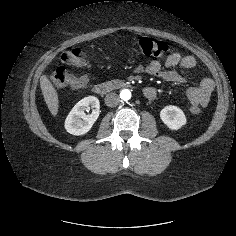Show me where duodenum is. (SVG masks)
<instances>
[{
	"label": "duodenum",
	"instance_id": "1",
	"mask_svg": "<svg viewBox=\"0 0 236 236\" xmlns=\"http://www.w3.org/2000/svg\"><path fill=\"white\" fill-rule=\"evenodd\" d=\"M128 87H130L129 82L121 81V80H107V81L99 82L93 85L92 90L96 94L104 95L114 90L128 88ZM144 94L146 97H149V96H152L154 92L148 91L145 89Z\"/></svg>",
	"mask_w": 236,
	"mask_h": 236
}]
</instances>
